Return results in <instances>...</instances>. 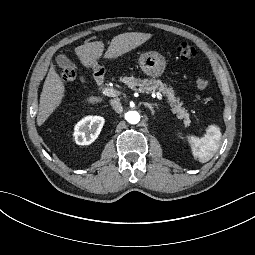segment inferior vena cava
<instances>
[{"label":"inferior vena cava","instance_id":"obj_1","mask_svg":"<svg viewBox=\"0 0 255 255\" xmlns=\"http://www.w3.org/2000/svg\"><path fill=\"white\" fill-rule=\"evenodd\" d=\"M110 105L117 113H121L123 111L121 103L116 99L110 100Z\"/></svg>","mask_w":255,"mask_h":255}]
</instances>
